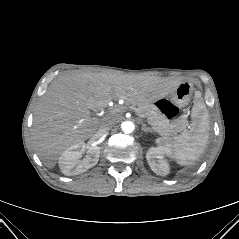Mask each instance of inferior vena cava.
<instances>
[{"instance_id":"obj_1","label":"inferior vena cava","mask_w":239,"mask_h":239,"mask_svg":"<svg viewBox=\"0 0 239 239\" xmlns=\"http://www.w3.org/2000/svg\"><path fill=\"white\" fill-rule=\"evenodd\" d=\"M113 125L112 121L110 120H105L104 123L99 127V129L96 131V134L98 136H102L103 134H105L110 127Z\"/></svg>"}]
</instances>
